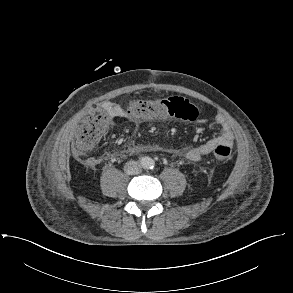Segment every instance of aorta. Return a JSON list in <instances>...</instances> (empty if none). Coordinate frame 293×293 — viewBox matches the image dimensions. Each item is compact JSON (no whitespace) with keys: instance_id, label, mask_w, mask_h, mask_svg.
<instances>
[{"instance_id":"obj_1","label":"aorta","mask_w":293,"mask_h":293,"mask_svg":"<svg viewBox=\"0 0 293 293\" xmlns=\"http://www.w3.org/2000/svg\"><path fill=\"white\" fill-rule=\"evenodd\" d=\"M155 162L152 158L150 157H146L144 160H143V166L145 168H152L154 166Z\"/></svg>"}]
</instances>
